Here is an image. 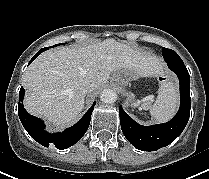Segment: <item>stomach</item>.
I'll return each instance as SVG.
<instances>
[{"label": "stomach", "mask_w": 209, "mask_h": 179, "mask_svg": "<svg viewBox=\"0 0 209 179\" xmlns=\"http://www.w3.org/2000/svg\"><path fill=\"white\" fill-rule=\"evenodd\" d=\"M138 78L137 74L130 70L121 71L117 76V81L119 85L124 88L126 87L132 80H136Z\"/></svg>", "instance_id": "stomach-1"}]
</instances>
